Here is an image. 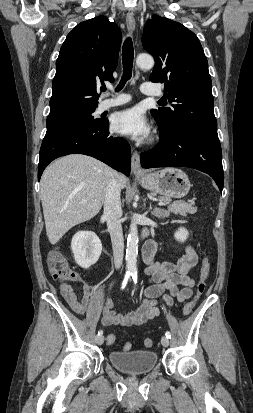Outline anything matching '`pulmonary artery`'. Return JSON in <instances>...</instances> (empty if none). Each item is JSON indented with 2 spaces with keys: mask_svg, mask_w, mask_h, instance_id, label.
<instances>
[{
  "mask_svg": "<svg viewBox=\"0 0 253 413\" xmlns=\"http://www.w3.org/2000/svg\"><path fill=\"white\" fill-rule=\"evenodd\" d=\"M109 90L110 92L115 93V96L101 100L98 104L99 112L125 104L130 100V96L127 94L116 93L113 88H110ZM141 92L148 96H160L162 94L161 90L157 86L148 82L141 85Z\"/></svg>",
  "mask_w": 253,
  "mask_h": 413,
  "instance_id": "e3ab8cb5",
  "label": "pulmonary artery"
}]
</instances>
